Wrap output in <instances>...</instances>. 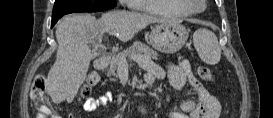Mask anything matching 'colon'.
<instances>
[{"label": "colon", "instance_id": "5ec220e1", "mask_svg": "<svg viewBox=\"0 0 273 118\" xmlns=\"http://www.w3.org/2000/svg\"><path fill=\"white\" fill-rule=\"evenodd\" d=\"M199 77L203 80L210 81L213 78L212 72L209 68L200 66L197 69ZM99 82V76L96 73H90L83 85V94H88L92 88H94ZM31 97L39 111V118H55L57 117L50 106L49 96L46 91V80L43 76H38L35 78L32 89Z\"/></svg>", "mask_w": 273, "mask_h": 118}]
</instances>
